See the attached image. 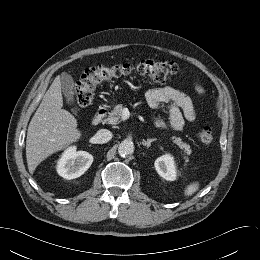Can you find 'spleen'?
Here are the masks:
<instances>
[{
	"mask_svg": "<svg viewBox=\"0 0 260 260\" xmlns=\"http://www.w3.org/2000/svg\"><path fill=\"white\" fill-rule=\"evenodd\" d=\"M199 189V183L198 182H192L189 185L186 186L185 190H184V195L185 196H191L193 195L195 192H197Z\"/></svg>",
	"mask_w": 260,
	"mask_h": 260,
	"instance_id": "spleen-1",
	"label": "spleen"
}]
</instances>
